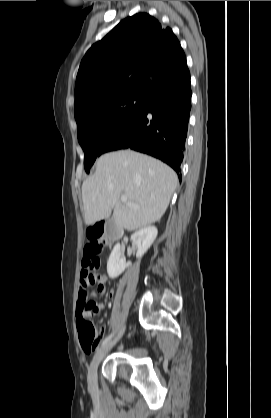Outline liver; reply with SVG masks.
I'll list each match as a JSON object with an SVG mask.
<instances>
[{
    "mask_svg": "<svg viewBox=\"0 0 271 418\" xmlns=\"http://www.w3.org/2000/svg\"><path fill=\"white\" fill-rule=\"evenodd\" d=\"M177 175L160 160L132 150L102 155L95 173L82 184L87 225L110 217L120 229L133 231L161 219L177 186ZM127 196V202L120 200Z\"/></svg>",
    "mask_w": 271,
    "mask_h": 418,
    "instance_id": "1",
    "label": "liver"
}]
</instances>
